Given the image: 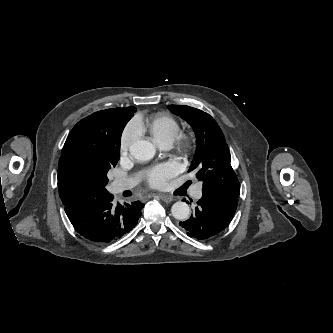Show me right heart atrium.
Listing matches in <instances>:
<instances>
[{
    "instance_id": "obj_1",
    "label": "right heart atrium",
    "mask_w": 333,
    "mask_h": 333,
    "mask_svg": "<svg viewBox=\"0 0 333 333\" xmlns=\"http://www.w3.org/2000/svg\"><path fill=\"white\" fill-rule=\"evenodd\" d=\"M140 123L133 119L125 127L120 139V151L122 154L127 153L131 145L140 137Z\"/></svg>"
}]
</instances>
